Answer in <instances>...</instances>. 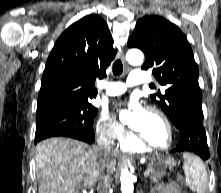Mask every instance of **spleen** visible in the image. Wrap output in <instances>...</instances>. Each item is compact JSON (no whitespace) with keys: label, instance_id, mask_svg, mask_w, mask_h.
Instances as JSON below:
<instances>
[{"label":"spleen","instance_id":"3e777b00","mask_svg":"<svg viewBox=\"0 0 221 193\" xmlns=\"http://www.w3.org/2000/svg\"><path fill=\"white\" fill-rule=\"evenodd\" d=\"M183 157L186 184L196 193H205L207 188V169L205 164L200 158L187 152L183 154Z\"/></svg>","mask_w":221,"mask_h":193}]
</instances>
